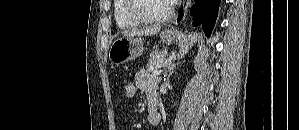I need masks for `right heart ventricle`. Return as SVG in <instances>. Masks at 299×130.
Wrapping results in <instances>:
<instances>
[{
  "mask_svg": "<svg viewBox=\"0 0 299 130\" xmlns=\"http://www.w3.org/2000/svg\"><path fill=\"white\" fill-rule=\"evenodd\" d=\"M129 0H115L114 1V18L117 26L120 29H133L141 25L134 20L129 14Z\"/></svg>",
  "mask_w": 299,
  "mask_h": 130,
  "instance_id": "1",
  "label": "right heart ventricle"
}]
</instances>
